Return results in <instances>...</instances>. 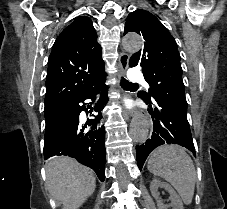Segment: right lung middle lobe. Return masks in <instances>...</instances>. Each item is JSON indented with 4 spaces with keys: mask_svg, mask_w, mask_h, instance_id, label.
<instances>
[{
    "mask_svg": "<svg viewBox=\"0 0 227 209\" xmlns=\"http://www.w3.org/2000/svg\"><path fill=\"white\" fill-rule=\"evenodd\" d=\"M62 109V105L51 106L45 108V120L49 123Z\"/></svg>",
    "mask_w": 227,
    "mask_h": 209,
    "instance_id": "dd1d6c3e",
    "label": "right lung middle lobe"
}]
</instances>
